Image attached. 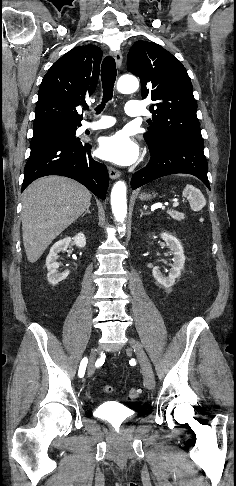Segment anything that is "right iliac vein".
I'll use <instances>...</instances> for the list:
<instances>
[{"instance_id":"63e3f726","label":"right iliac vein","mask_w":236,"mask_h":486,"mask_svg":"<svg viewBox=\"0 0 236 486\" xmlns=\"http://www.w3.org/2000/svg\"><path fill=\"white\" fill-rule=\"evenodd\" d=\"M96 349H92L91 354H90V359H89V364H88V369H87V374L89 377H91L94 374L95 367L94 363L96 360Z\"/></svg>"}]
</instances>
